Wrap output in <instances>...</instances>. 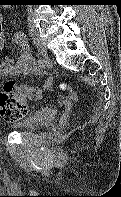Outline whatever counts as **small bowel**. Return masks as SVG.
Instances as JSON below:
<instances>
[{
	"instance_id": "obj_1",
	"label": "small bowel",
	"mask_w": 121,
	"mask_h": 197,
	"mask_svg": "<svg viewBox=\"0 0 121 197\" xmlns=\"http://www.w3.org/2000/svg\"><path fill=\"white\" fill-rule=\"evenodd\" d=\"M3 15L0 13V55L4 51L17 45L20 49V56L17 59L10 57L8 54L0 61V75L15 76L22 73H36L38 71L37 63L32 55L30 44L23 32H15L11 35L7 34L1 28ZM52 87V80L47 78L41 87H33L35 97L32 100L40 99L44 93L48 92Z\"/></svg>"
}]
</instances>
